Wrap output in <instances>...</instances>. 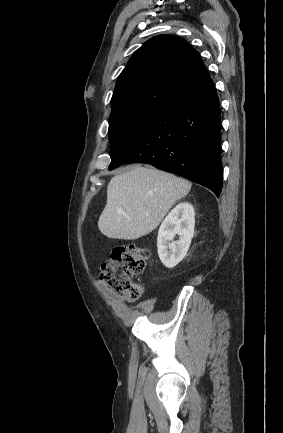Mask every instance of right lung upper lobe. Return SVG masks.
Here are the masks:
<instances>
[{"mask_svg": "<svg viewBox=\"0 0 283 433\" xmlns=\"http://www.w3.org/2000/svg\"><path fill=\"white\" fill-rule=\"evenodd\" d=\"M212 84L190 44L170 35L155 36L134 52L118 77L112 110L131 105L164 110Z\"/></svg>", "mask_w": 283, "mask_h": 433, "instance_id": "obj_1", "label": "right lung upper lobe"}]
</instances>
